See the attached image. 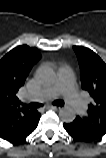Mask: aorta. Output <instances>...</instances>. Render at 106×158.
I'll list each match as a JSON object with an SVG mask.
<instances>
[{"label":"aorta","mask_w":106,"mask_h":158,"mask_svg":"<svg viewBox=\"0 0 106 158\" xmlns=\"http://www.w3.org/2000/svg\"><path fill=\"white\" fill-rule=\"evenodd\" d=\"M75 110L71 107H64L61 111H60V117L63 121L65 122H71L74 120L75 118Z\"/></svg>","instance_id":"obj_1"}]
</instances>
